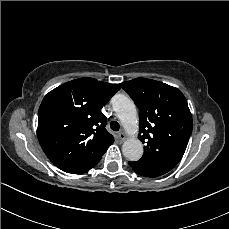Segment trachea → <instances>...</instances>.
<instances>
[{
	"mask_svg": "<svg viewBox=\"0 0 229 229\" xmlns=\"http://www.w3.org/2000/svg\"><path fill=\"white\" fill-rule=\"evenodd\" d=\"M110 128L113 130V131H119L120 129V125L117 121H112L110 123Z\"/></svg>",
	"mask_w": 229,
	"mask_h": 229,
	"instance_id": "1",
	"label": "trachea"
}]
</instances>
